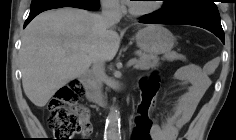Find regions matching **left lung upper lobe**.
Returning a JSON list of instances; mask_svg holds the SVG:
<instances>
[{"instance_id":"1","label":"left lung upper lobe","mask_w":236,"mask_h":140,"mask_svg":"<svg viewBox=\"0 0 236 140\" xmlns=\"http://www.w3.org/2000/svg\"><path fill=\"white\" fill-rule=\"evenodd\" d=\"M160 12L166 17L198 16L220 20L214 0H166Z\"/></svg>"}]
</instances>
